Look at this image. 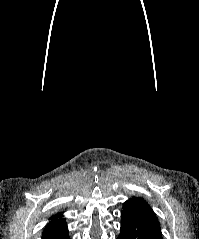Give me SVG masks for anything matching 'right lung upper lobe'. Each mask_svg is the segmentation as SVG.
Here are the masks:
<instances>
[{
	"label": "right lung upper lobe",
	"instance_id": "right-lung-upper-lobe-1",
	"mask_svg": "<svg viewBox=\"0 0 199 239\" xmlns=\"http://www.w3.org/2000/svg\"><path fill=\"white\" fill-rule=\"evenodd\" d=\"M58 217H61V215H60V214L54 215L53 217H51V220H52V221H53V220H56Z\"/></svg>",
	"mask_w": 199,
	"mask_h": 239
}]
</instances>
